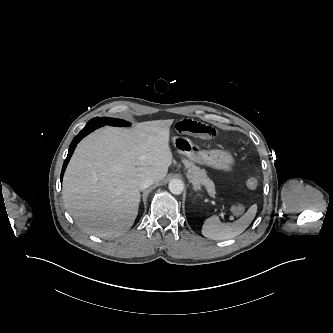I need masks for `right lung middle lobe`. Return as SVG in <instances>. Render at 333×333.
Wrapping results in <instances>:
<instances>
[{
  "label": "right lung middle lobe",
  "mask_w": 333,
  "mask_h": 333,
  "mask_svg": "<svg viewBox=\"0 0 333 333\" xmlns=\"http://www.w3.org/2000/svg\"><path fill=\"white\" fill-rule=\"evenodd\" d=\"M87 124H100L101 126L104 125H110V126H129L130 123L125 121V120H121V119H117V118H108V117H95L93 119H91Z\"/></svg>",
  "instance_id": "dd1d6c3e"
}]
</instances>
